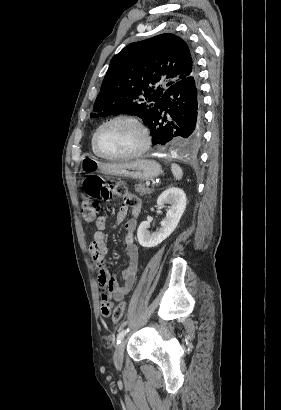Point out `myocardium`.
<instances>
[{"instance_id": "1", "label": "myocardium", "mask_w": 281, "mask_h": 410, "mask_svg": "<svg viewBox=\"0 0 281 410\" xmlns=\"http://www.w3.org/2000/svg\"><path fill=\"white\" fill-rule=\"evenodd\" d=\"M117 121L131 122L140 130L142 137H143V142H142V145L136 151L128 153V154H124V155H110V154L105 153L100 148V145H99L100 132L102 131L104 127L114 122H117ZM150 145H151V136H150L149 130L146 127V125L137 117L133 115H129V114H119V115H116L104 121L101 125L98 126V128L95 130L93 134V146H94L95 151L100 157L105 158L107 160H126V159H132V158L139 157L148 151V149L150 148Z\"/></svg>"}]
</instances>
